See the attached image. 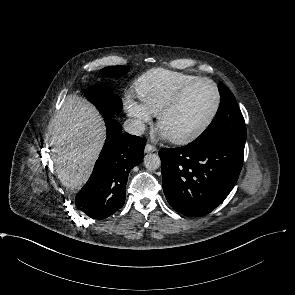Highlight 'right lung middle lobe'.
Listing matches in <instances>:
<instances>
[{"mask_svg": "<svg viewBox=\"0 0 295 295\" xmlns=\"http://www.w3.org/2000/svg\"><path fill=\"white\" fill-rule=\"evenodd\" d=\"M127 71L128 67L126 66H111L103 68L100 73L103 76L119 77ZM112 91V88H104L102 85L92 86L85 91L86 97L96 106L103 117H113L122 108L121 100Z\"/></svg>", "mask_w": 295, "mask_h": 295, "instance_id": "dd1d6c3e", "label": "right lung middle lobe"}]
</instances>
